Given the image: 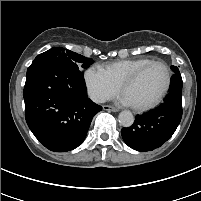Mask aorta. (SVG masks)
<instances>
[{
	"instance_id": "1",
	"label": "aorta",
	"mask_w": 201,
	"mask_h": 201,
	"mask_svg": "<svg viewBox=\"0 0 201 201\" xmlns=\"http://www.w3.org/2000/svg\"><path fill=\"white\" fill-rule=\"evenodd\" d=\"M118 121L123 127H130L134 122V116L130 111L124 110L120 112Z\"/></svg>"
}]
</instances>
